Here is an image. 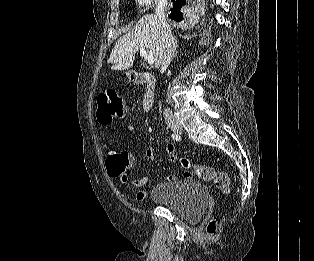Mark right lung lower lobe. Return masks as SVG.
Masks as SVG:
<instances>
[{
	"mask_svg": "<svg viewBox=\"0 0 314 261\" xmlns=\"http://www.w3.org/2000/svg\"><path fill=\"white\" fill-rule=\"evenodd\" d=\"M172 1L174 2V6L171 9L169 18L174 19L175 21H181L183 19V14L180 12V8L186 3V0Z\"/></svg>",
	"mask_w": 314,
	"mask_h": 261,
	"instance_id": "98d812e1",
	"label": "right lung lower lobe"
}]
</instances>
